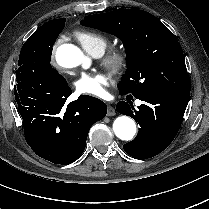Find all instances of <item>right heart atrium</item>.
Masks as SVG:
<instances>
[{
    "mask_svg": "<svg viewBox=\"0 0 209 209\" xmlns=\"http://www.w3.org/2000/svg\"><path fill=\"white\" fill-rule=\"evenodd\" d=\"M57 46H58V41H56V42L52 45V47H51V57H52V60H53V58H54V55H55V51H56Z\"/></svg>",
    "mask_w": 209,
    "mask_h": 209,
    "instance_id": "d8ad5b80",
    "label": "right heart atrium"
}]
</instances>
